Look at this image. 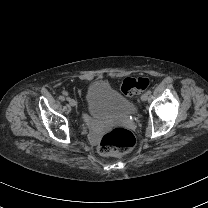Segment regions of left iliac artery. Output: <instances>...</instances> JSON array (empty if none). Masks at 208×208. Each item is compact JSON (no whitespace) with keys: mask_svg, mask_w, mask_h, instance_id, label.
I'll use <instances>...</instances> for the list:
<instances>
[{"mask_svg":"<svg viewBox=\"0 0 208 208\" xmlns=\"http://www.w3.org/2000/svg\"><path fill=\"white\" fill-rule=\"evenodd\" d=\"M151 93H152L151 90H147L146 92L147 95H150Z\"/></svg>","mask_w":208,"mask_h":208,"instance_id":"left-iliac-artery-1","label":"left iliac artery"}]
</instances>
